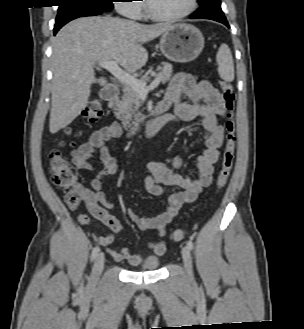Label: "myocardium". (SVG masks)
<instances>
[{
    "label": "myocardium",
    "mask_w": 304,
    "mask_h": 329,
    "mask_svg": "<svg viewBox=\"0 0 304 329\" xmlns=\"http://www.w3.org/2000/svg\"><path fill=\"white\" fill-rule=\"evenodd\" d=\"M197 5H198V0H190V5L185 11L173 15H161L155 13L149 4V1L145 0V11L147 16L153 20L169 22V21H177L191 15L196 10Z\"/></svg>",
    "instance_id": "obj_1"
}]
</instances>
